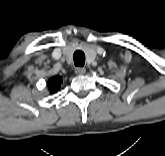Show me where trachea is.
<instances>
[{
    "instance_id": "trachea-1",
    "label": "trachea",
    "mask_w": 165,
    "mask_h": 156,
    "mask_svg": "<svg viewBox=\"0 0 165 156\" xmlns=\"http://www.w3.org/2000/svg\"><path fill=\"white\" fill-rule=\"evenodd\" d=\"M75 66L82 67L85 64V54L82 51H76L73 55Z\"/></svg>"
}]
</instances>
